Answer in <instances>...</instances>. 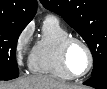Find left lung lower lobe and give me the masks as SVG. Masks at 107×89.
<instances>
[{
	"label": "left lung lower lobe",
	"mask_w": 107,
	"mask_h": 89,
	"mask_svg": "<svg viewBox=\"0 0 107 89\" xmlns=\"http://www.w3.org/2000/svg\"><path fill=\"white\" fill-rule=\"evenodd\" d=\"M84 84L97 89H107V66L103 67L96 75L91 76Z\"/></svg>",
	"instance_id": "obj_1"
}]
</instances>
